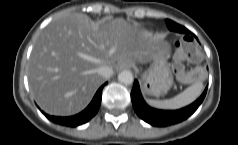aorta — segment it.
<instances>
[{"label": "aorta", "mask_w": 238, "mask_h": 145, "mask_svg": "<svg viewBox=\"0 0 238 145\" xmlns=\"http://www.w3.org/2000/svg\"><path fill=\"white\" fill-rule=\"evenodd\" d=\"M118 80L126 85L132 84L134 81L133 74L130 70H123L118 74Z\"/></svg>", "instance_id": "aorta-1"}]
</instances>
